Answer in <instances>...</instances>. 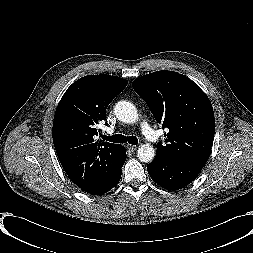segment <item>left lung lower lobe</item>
<instances>
[{
  "instance_id": "left-lung-lower-lobe-1",
  "label": "left lung lower lobe",
  "mask_w": 253,
  "mask_h": 253,
  "mask_svg": "<svg viewBox=\"0 0 253 253\" xmlns=\"http://www.w3.org/2000/svg\"><path fill=\"white\" fill-rule=\"evenodd\" d=\"M204 164L190 161H174L155 157L147 166L154 182L168 190H178L190 184Z\"/></svg>"
}]
</instances>
